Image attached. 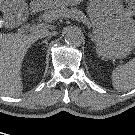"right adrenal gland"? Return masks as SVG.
Segmentation results:
<instances>
[{
	"instance_id": "1",
	"label": "right adrenal gland",
	"mask_w": 135,
	"mask_h": 135,
	"mask_svg": "<svg viewBox=\"0 0 135 135\" xmlns=\"http://www.w3.org/2000/svg\"><path fill=\"white\" fill-rule=\"evenodd\" d=\"M50 37L46 38L45 40H43L40 44H43L45 43L46 46L48 45V41H49Z\"/></svg>"
}]
</instances>
